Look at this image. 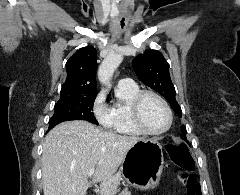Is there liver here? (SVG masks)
Listing matches in <instances>:
<instances>
[{
  "mask_svg": "<svg viewBox=\"0 0 240 195\" xmlns=\"http://www.w3.org/2000/svg\"><path fill=\"white\" fill-rule=\"evenodd\" d=\"M139 139L143 137L109 133L83 119L58 123L43 143L44 195H85L98 181L102 195H111L121 179L117 169ZM91 167L95 173L89 175Z\"/></svg>",
  "mask_w": 240,
  "mask_h": 195,
  "instance_id": "1",
  "label": "liver"
}]
</instances>
